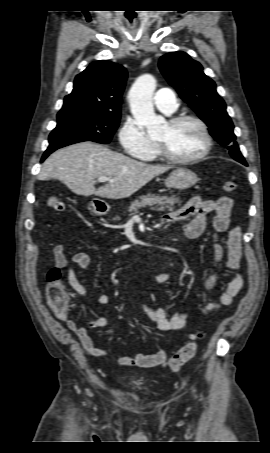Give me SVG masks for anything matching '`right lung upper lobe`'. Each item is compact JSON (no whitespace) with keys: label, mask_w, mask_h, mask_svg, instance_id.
Returning a JSON list of instances; mask_svg holds the SVG:
<instances>
[{"label":"right lung upper lobe","mask_w":270,"mask_h":453,"mask_svg":"<svg viewBox=\"0 0 270 453\" xmlns=\"http://www.w3.org/2000/svg\"><path fill=\"white\" fill-rule=\"evenodd\" d=\"M126 69L110 61H94L74 81L57 117L80 112L120 116Z\"/></svg>","instance_id":"obj_1"}]
</instances>
